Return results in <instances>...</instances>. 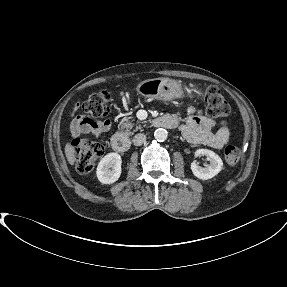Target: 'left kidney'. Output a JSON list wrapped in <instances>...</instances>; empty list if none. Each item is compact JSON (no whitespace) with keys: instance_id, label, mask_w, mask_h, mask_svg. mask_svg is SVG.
Wrapping results in <instances>:
<instances>
[{"instance_id":"obj_1","label":"left kidney","mask_w":287,"mask_h":287,"mask_svg":"<svg viewBox=\"0 0 287 287\" xmlns=\"http://www.w3.org/2000/svg\"><path fill=\"white\" fill-rule=\"evenodd\" d=\"M205 155L209 158L210 164L203 168L198 166L196 161L191 163V170L193 174L202 180H208L216 176L223 168L222 159L213 151L208 149H198L195 152V156Z\"/></svg>"}]
</instances>
